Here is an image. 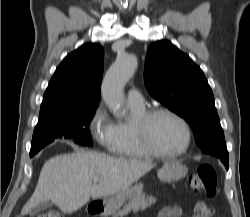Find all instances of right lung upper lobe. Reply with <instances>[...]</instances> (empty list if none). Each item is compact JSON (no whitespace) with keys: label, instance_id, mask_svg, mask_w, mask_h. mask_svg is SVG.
<instances>
[{"label":"right lung upper lobe","instance_id":"1","mask_svg":"<svg viewBox=\"0 0 250 217\" xmlns=\"http://www.w3.org/2000/svg\"><path fill=\"white\" fill-rule=\"evenodd\" d=\"M104 50L84 44L57 67L43 97L40 115L72 108L98 106Z\"/></svg>","mask_w":250,"mask_h":217}]
</instances>
